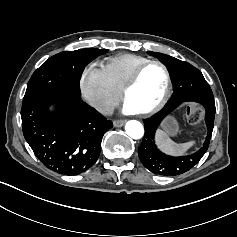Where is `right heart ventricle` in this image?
I'll return each instance as SVG.
<instances>
[{"label": "right heart ventricle", "instance_id": "1", "mask_svg": "<svg viewBox=\"0 0 237 237\" xmlns=\"http://www.w3.org/2000/svg\"><path fill=\"white\" fill-rule=\"evenodd\" d=\"M148 61L146 57L124 53L106 58L103 68L112 85L120 91L133 73Z\"/></svg>", "mask_w": 237, "mask_h": 237}]
</instances>
